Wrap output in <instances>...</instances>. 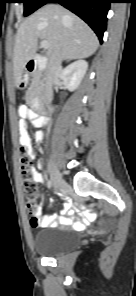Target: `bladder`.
<instances>
[{
  "instance_id": "bladder-1",
  "label": "bladder",
  "mask_w": 136,
  "mask_h": 296,
  "mask_svg": "<svg viewBox=\"0 0 136 296\" xmlns=\"http://www.w3.org/2000/svg\"><path fill=\"white\" fill-rule=\"evenodd\" d=\"M79 243L78 235L71 229L55 227L39 231L33 236L36 253L43 256H59Z\"/></svg>"
}]
</instances>
